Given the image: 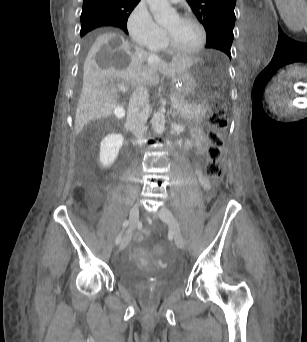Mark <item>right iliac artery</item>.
Listing matches in <instances>:
<instances>
[{"instance_id":"82829eb1","label":"right iliac artery","mask_w":307,"mask_h":342,"mask_svg":"<svg viewBox=\"0 0 307 342\" xmlns=\"http://www.w3.org/2000/svg\"><path fill=\"white\" fill-rule=\"evenodd\" d=\"M128 225H129V221H128V220H125V221L123 222V224H122L123 230H124ZM121 239H122V233H120V234L117 236V238H116V240H115L116 244H119V243L121 242Z\"/></svg>"}]
</instances>
